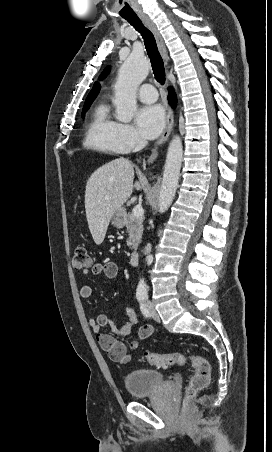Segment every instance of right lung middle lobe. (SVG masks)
<instances>
[{
    "label": "right lung middle lobe",
    "instance_id": "right-lung-middle-lobe-1",
    "mask_svg": "<svg viewBox=\"0 0 272 452\" xmlns=\"http://www.w3.org/2000/svg\"><path fill=\"white\" fill-rule=\"evenodd\" d=\"M90 105H91V103L84 104V107H83V110H82V115L86 112V110L89 108Z\"/></svg>",
    "mask_w": 272,
    "mask_h": 452
}]
</instances>
